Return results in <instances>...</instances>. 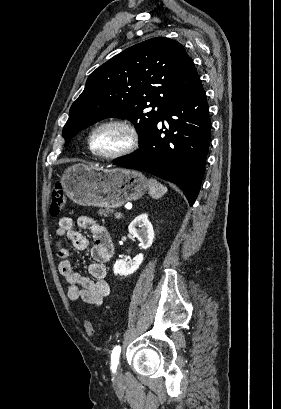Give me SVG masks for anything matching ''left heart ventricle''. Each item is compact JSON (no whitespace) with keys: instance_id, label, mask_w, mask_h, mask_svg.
<instances>
[{"instance_id":"1","label":"left heart ventricle","mask_w":281,"mask_h":409,"mask_svg":"<svg viewBox=\"0 0 281 409\" xmlns=\"http://www.w3.org/2000/svg\"><path fill=\"white\" fill-rule=\"evenodd\" d=\"M125 141L122 132L116 129L104 130L95 138V148L100 153H110L117 150Z\"/></svg>"}]
</instances>
